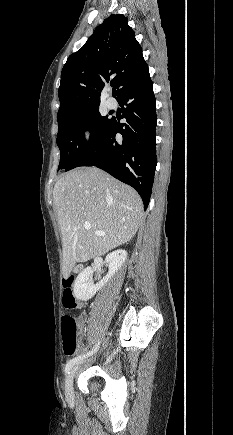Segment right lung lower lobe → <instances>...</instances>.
<instances>
[{"instance_id":"1","label":"right lung lower lobe","mask_w":233,"mask_h":435,"mask_svg":"<svg viewBox=\"0 0 233 435\" xmlns=\"http://www.w3.org/2000/svg\"><path fill=\"white\" fill-rule=\"evenodd\" d=\"M124 108L119 124L116 119L104 137L78 166H97L132 186L141 196L146 210L150 201L156 159V100L149 73L127 85L118 97ZM123 141L118 143L115 135Z\"/></svg>"}]
</instances>
